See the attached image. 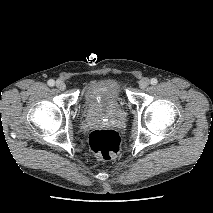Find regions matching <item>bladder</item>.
Listing matches in <instances>:
<instances>
[{
	"instance_id": "obj_1",
	"label": "bladder",
	"mask_w": 213,
	"mask_h": 213,
	"mask_svg": "<svg viewBox=\"0 0 213 213\" xmlns=\"http://www.w3.org/2000/svg\"><path fill=\"white\" fill-rule=\"evenodd\" d=\"M123 88L119 80L105 78L90 83L83 92V102L88 109H103L121 103Z\"/></svg>"
}]
</instances>
